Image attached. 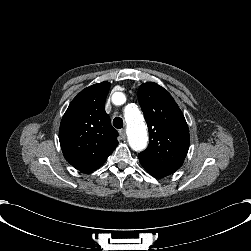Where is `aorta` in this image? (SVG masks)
Returning a JSON list of instances; mask_svg holds the SVG:
<instances>
[{
	"label": "aorta",
	"instance_id": "762f6f07",
	"mask_svg": "<svg viewBox=\"0 0 251 251\" xmlns=\"http://www.w3.org/2000/svg\"><path fill=\"white\" fill-rule=\"evenodd\" d=\"M123 93H115V96H122ZM124 117L126 122V133L130 147L134 151H142L147 147L148 135L147 126L144 117L140 113L137 106L133 103L127 105L124 109Z\"/></svg>",
	"mask_w": 251,
	"mask_h": 251
}]
</instances>
